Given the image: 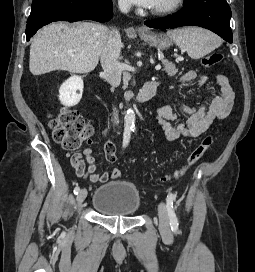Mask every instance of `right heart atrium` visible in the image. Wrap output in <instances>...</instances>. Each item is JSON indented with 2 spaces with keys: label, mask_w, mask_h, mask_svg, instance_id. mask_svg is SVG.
<instances>
[{
  "label": "right heart atrium",
  "mask_w": 255,
  "mask_h": 272,
  "mask_svg": "<svg viewBox=\"0 0 255 272\" xmlns=\"http://www.w3.org/2000/svg\"><path fill=\"white\" fill-rule=\"evenodd\" d=\"M119 6L121 9L126 10L129 8V4L127 0H119Z\"/></svg>",
  "instance_id": "obj_1"
}]
</instances>
